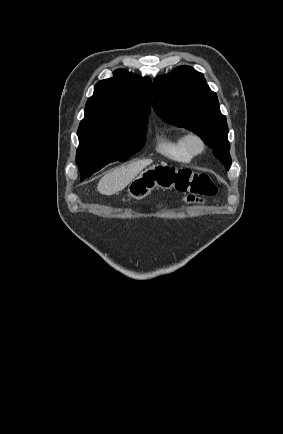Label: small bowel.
<instances>
[{
	"label": "small bowel",
	"mask_w": 283,
	"mask_h": 434,
	"mask_svg": "<svg viewBox=\"0 0 283 434\" xmlns=\"http://www.w3.org/2000/svg\"><path fill=\"white\" fill-rule=\"evenodd\" d=\"M187 201L189 202H199L200 201V196H196L194 194H189L187 197Z\"/></svg>",
	"instance_id": "c3829d8e"
}]
</instances>
